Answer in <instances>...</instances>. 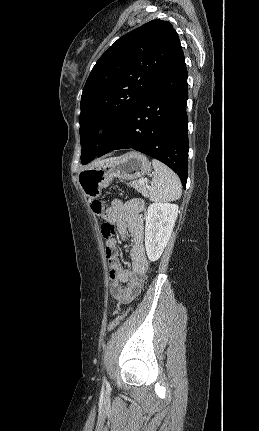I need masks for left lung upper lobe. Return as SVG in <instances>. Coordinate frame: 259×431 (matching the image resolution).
<instances>
[{"label": "left lung upper lobe", "instance_id": "obj_1", "mask_svg": "<svg viewBox=\"0 0 259 431\" xmlns=\"http://www.w3.org/2000/svg\"><path fill=\"white\" fill-rule=\"evenodd\" d=\"M181 50L168 21L155 19L120 37L94 65L83 89L80 113L81 161L99 152L151 90ZM105 127L101 138L96 132Z\"/></svg>", "mask_w": 259, "mask_h": 431}]
</instances>
